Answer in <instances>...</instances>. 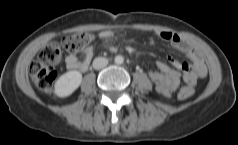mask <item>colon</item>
<instances>
[{
  "instance_id": "1",
  "label": "colon",
  "mask_w": 238,
  "mask_h": 145,
  "mask_svg": "<svg viewBox=\"0 0 238 145\" xmlns=\"http://www.w3.org/2000/svg\"><path fill=\"white\" fill-rule=\"evenodd\" d=\"M91 40L92 35L88 32L76 33L64 37L61 41L51 42L41 49L30 66V77L35 87L53 95L52 85L57 76L55 67L62 59V49L76 53L82 51ZM193 93V88L185 86L179 90L178 98L184 100Z\"/></svg>"
}]
</instances>
